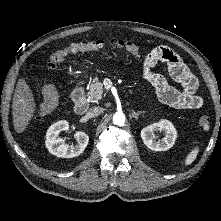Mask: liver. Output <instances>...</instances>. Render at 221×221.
<instances>
[{
    "mask_svg": "<svg viewBox=\"0 0 221 221\" xmlns=\"http://www.w3.org/2000/svg\"><path fill=\"white\" fill-rule=\"evenodd\" d=\"M35 102L32 91L27 82L21 78L18 80L12 101V114L14 129L22 133L35 113Z\"/></svg>",
    "mask_w": 221,
    "mask_h": 221,
    "instance_id": "6515ba94",
    "label": "liver"
}]
</instances>
